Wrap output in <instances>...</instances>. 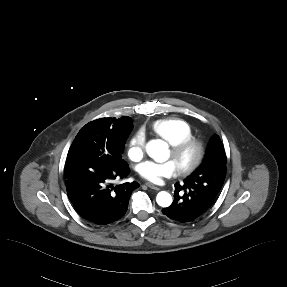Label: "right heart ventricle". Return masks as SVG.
I'll list each match as a JSON object with an SVG mask.
<instances>
[{
  "mask_svg": "<svg viewBox=\"0 0 287 287\" xmlns=\"http://www.w3.org/2000/svg\"><path fill=\"white\" fill-rule=\"evenodd\" d=\"M150 129L170 146H175L193 137V129L189 122L178 117L156 120L152 122Z\"/></svg>",
  "mask_w": 287,
  "mask_h": 287,
  "instance_id": "1",
  "label": "right heart ventricle"
}]
</instances>
